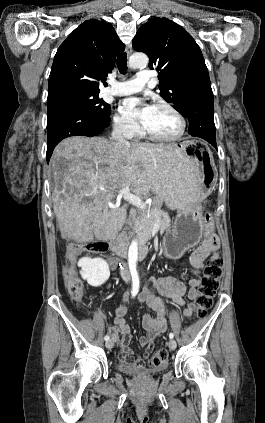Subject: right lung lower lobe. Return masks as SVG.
I'll use <instances>...</instances> for the list:
<instances>
[{
  "label": "right lung lower lobe",
  "mask_w": 265,
  "mask_h": 423,
  "mask_svg": "<svg viewBox=\"0 0 265 423\" xmlns=\"http://www.w3.org/2000/svg\"><path fill=\"white\" fill-rule=\"evenodd\" d=\"M47 120V162L55 146L62 139L71 136L98 135L110 122L71 102H59L48 106Z\"/></svg>",
  "instance_id": "obj_1"
}]
</instances>
